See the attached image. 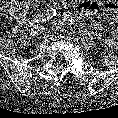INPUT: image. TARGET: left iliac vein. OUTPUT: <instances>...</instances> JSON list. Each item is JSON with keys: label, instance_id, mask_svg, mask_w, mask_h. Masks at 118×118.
I'll list each match as a JSON object with an SVG mask.
<instances>
[{"label": "left iliac vein", "instance_id": "4c4485c4", "mask_svg": "<svg viewBox=\"0 0 118 118\" xmlns=\"http://www.w3.org/2000/svg\"><path fill=\"white\" fill-rule=\"evenodd\" d=\"M55 24L58 25L59 27H62V23L61 22H57Z\"/></svg>", "mask_w": 118, "mask_h": 118}]
</instances>
